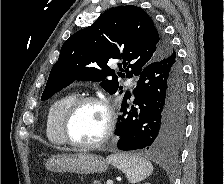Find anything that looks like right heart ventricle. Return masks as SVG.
Instances as JSON below:
<instances>
[{"instance_id": "1", "label": "right heart ventricle", "mask_w": 224, "mask_h": 184, "mask_svg": "<svg viewBox=\"0 0 224 184\" xmlns=\"http://www.w3.org/2000/svg\"><path fill=\"white\" fill-rule=\"evenodd\" d=\"M76 97L74 92L66 93L55 100L49 108L46 118V136L53 145L65 144L60 131L61 119L67 107Z\"/></svg>"}]
</instances>
